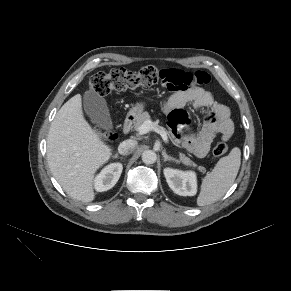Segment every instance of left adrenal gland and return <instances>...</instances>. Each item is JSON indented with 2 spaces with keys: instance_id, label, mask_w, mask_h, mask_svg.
<instances>
[{
  "instance_id": "obj_1",
  "label": "left adrenal gland",
  "mask_w": 291,
  "mask_h": 291,
  "mask_svg": "<svg viewBox=\"0 0 291 291\" xmlns=\"http://www.w3.org/2000/svg\"><path fill=\"white\" fill-rule=\"evenodd\" d=\"M162 156L164 158V161H173V162L179 163V161L176 158L168 155L165 151H162Z\"/></svg>"
}]
</instances>
